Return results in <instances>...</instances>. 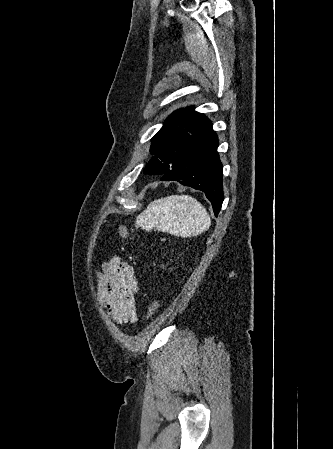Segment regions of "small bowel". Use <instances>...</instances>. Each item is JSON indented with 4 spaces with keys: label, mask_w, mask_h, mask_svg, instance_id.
<instances>
[{
    "label": "small bowel",
    "mask_w": 333,
    "mask_h": 449,
    "mask_svg": "<svg viewBox=\"0 0 333 449\" xmlns=\"http://www.w3.org/2000/svg\"><path fill=\"white\" fill-rule=\"evenodd\" d=\"M138 285L131 265L118 257L106 262L98 274V296L118 324L137 320Z\"/></svg>",
    "instance_id": "c3829d8e"
}]
</instances>
